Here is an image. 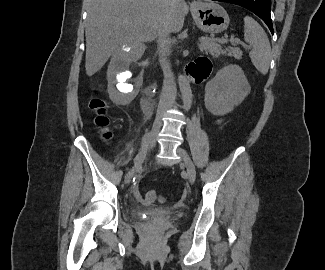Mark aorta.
Here are the masks:
<instances>
[{
  "instance_id": "1",
  "label": "aorta",
  "mask_w": 325,
  "mask_h": 270,
  "mask_svg": "<svg viewBox=\"0 0 325 270\" xmlns=\"http://www.w3.org/2000/svg\"><path fill=\"white\" fill-rule=\"evenodd\" d=\"M178 84L183 97V107L185 110H189L192 104V91L190 84L183 75H179Z\"/></svg>"
}]
</instances>
